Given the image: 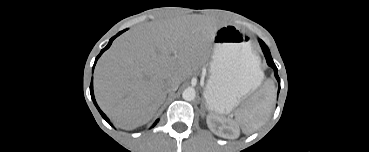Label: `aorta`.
<instances>
[{"label": "aorta", "mask_w": 369, "mask_h": 152, "mask_svg": "<svg viewBox=\"0 0 369 152\" xmlns=\"http://www.w3.org/2000/svg\"><path fill=\"white\" fill-rule=\"evenodd\" d=\"M196 97V92L193 88L188 87L187 89H185L182 93V98L186 101H192L194 100Z\"/></svg>", "instance_id": "obj_1"}]
</instances>
